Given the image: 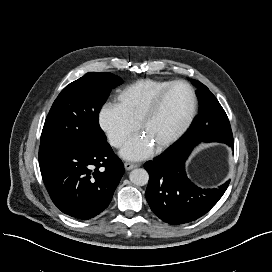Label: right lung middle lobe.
Listing matches in <instances>:
<instances>
[{"label": "right lung middle lobe", "instance_id": "obj_1", "mask_svg": "<svg viewBox=\"0 0 272 272\" xmlns=\"http://www.w3.org/2000/svg\"><path fill=\"white\" fill-rule=\"evenodd\" d=\"M120 77L89 72L67 85L54 101L45 120L40 145L96 144L106 141L99 112Z\"/></svg>", "mask_w": 272, "mask_h": 272}]
</instances>
